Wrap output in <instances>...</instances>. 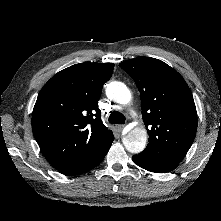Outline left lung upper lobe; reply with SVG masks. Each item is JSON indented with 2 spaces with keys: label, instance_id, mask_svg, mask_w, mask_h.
<instances>
[{
  "label": "left lung upper lobe",
  "instance_id": "obj_1",
  "mask_svg": "<svg viewBox=\"0 0 221 221\" xmlns=\"http://www.w3.org/2000/svg\"><path fill=\"white\" fill-rule=\"evenodd\" d=\"M119 66L135 81L141 96L149 143L142 153L179 163L192 145L197 112L183 77L161 60L137 57Z\"/></svg>",
  "mask_w": 221,
  "mask_h": 221
}]
</instances>
